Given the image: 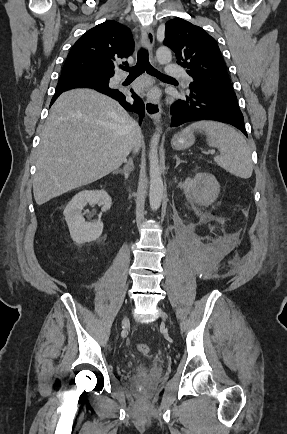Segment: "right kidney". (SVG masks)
<instances>
[{"instance_id":"obj_1","label":"right kidney","mask_w":287,"mask_h":434,"mask_svg":"<svg viewBox=\"0 0 287 434\" xmlns=\"http://www.w3.org/2000/svg\"><path fill=\"white\" fill-rule=\"evenodd\" d=\"M88 203L102 205V211L106 212L112 205V199L105 190H84L76 194L67 204L63 214L70 236L76 244L94 241L103 231V223L100 220L85 221L82 210Z\"/></svg>"}]
</instances>
